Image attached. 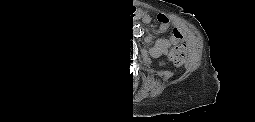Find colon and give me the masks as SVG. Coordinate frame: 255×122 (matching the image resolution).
Returning a JSON list of instances; mask_svg holds the SVG:
<instances>
[{"instance_id":"obj_1","label":"colon","mask_w":255,"mask_h":122,"mask_svg":"<svg viewBox=\"0 0 255 122\" xmlns=\"http://www.w3.org/2000/svg\"><path fill=\"white\" fill-rule=\"evenodd\" d=\"M124 16L129 20L134 19L137 16L136 10L133 8H128L124 11ZM172 34L175 39L173 40L169 50V58L174 62L180 63L185 56V46L179 39L180 36L176 29L173 30Z\"/></svg>"}]
</instances>
